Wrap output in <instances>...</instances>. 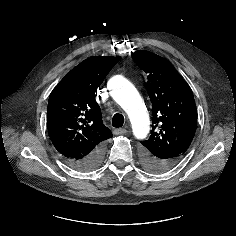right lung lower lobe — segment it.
Masks as SVG:
<instances>
[{"instance_id":"right-lung-lower-lobe-1","label":"right lung lower lobe","mask_w":236,"mask_h":236,"mask_svg":"<svg viewBox=\"0 0 236 236\" xmlns=\"http://www.w3.org/2000/svg\"><path fill=\"white\" fill-rule=\"evenodd\" d=\"M105 143L100 144L89 155L82 159L64 158L65 161L74 169L80 171H90L101 165L104 159Z\"/></svg>"}]
</instances>
